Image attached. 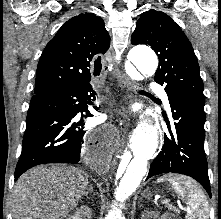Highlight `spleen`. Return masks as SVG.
I'll return each instance as SVG.
<instances>
[{
    "mask_svg": "<svg viewBox=\"0 0 221 219\" xmlns=\"http://www.w3.org/2000/svg\"><path fill=\"white\" fill-rule=\"evenodd\" d=\"M169 181L176 193L187 204L186 219H209V203L201 187L192 179L181 176H165L159 180Z\"/></svg>",
    "mask_w": 221,
    "mask_h": 219,
    "instance_id": "spleen-1",
    "label": "spleen"
}]
</instances>
